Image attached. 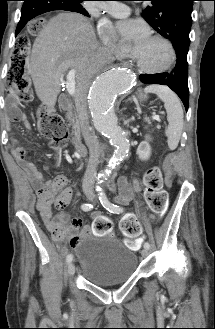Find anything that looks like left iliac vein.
<instances>
[{
	"label": "left iliac vein",
	"instance_id": "left-iliac-vein-1",
	"mask_svg": "<svg viewBox=\"0 0 215 329\" xmlns=\"http://www.w3.org/2000/svg\"><path fill=\"white\" fill-rule=\"evenodd\" d=\"M91 199H92V200H96L95 196H91ZM148 253H149V251H148L147 248H144V249L141 251V254H142V256H143L144 258L148 256Z\"/></svg>",
	"mask_w": 215,
	"mask_h": 329
}]
</instances>
